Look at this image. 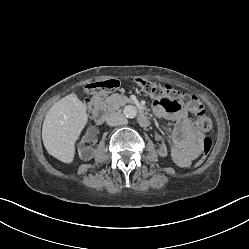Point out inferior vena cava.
Returning a JSON list of instances; mask_svg holds the SVG:
<instances>
[{"mask_svg": "<svg viewBox=\"0 0 249 249\" xmlns=\"http://www.w3.org/2000/svg\"><path fill=\"white\" fill-rule=\"evenodd\" d=\"M127 122V119L121 112H114L111 113L107 119L106 123L109 126H118V125H123Z\"/></svg>", "mask_w": 249, "mask_h": 249, "instance_id": "602c4592", "label": "inferior vena cava"}]
</instances>
